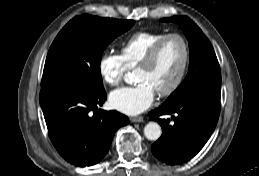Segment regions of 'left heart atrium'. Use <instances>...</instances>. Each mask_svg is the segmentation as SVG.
<instances>
[{
	"mask_svg": "<svg viewBox=\"0 0 259 176\" xmlns=\"http://www.w3.org/2000/svg\"><path fill=\"white\" fill-rule=\"evenodd\" d=\"M155 94V89L149 83L141 81L133 86L112 91L109 95V103L112 108L120 112L135 115L151 106Z\"/></svg>",
	"mask_w": 259,
	"mask_h": 176,
	"instance_id": "1",
	"label": "left heart atrium"
}]
</instances>
